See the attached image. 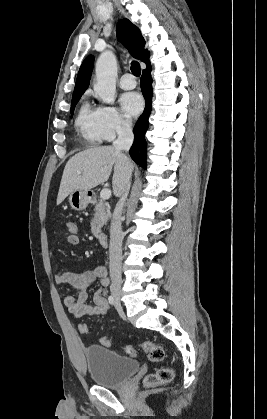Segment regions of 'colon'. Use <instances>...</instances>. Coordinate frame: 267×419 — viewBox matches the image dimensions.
<instances>
[{
    "mask_svg": "<svg viewBox=\"0 0 267 419\" xmlns=\"http://www.w3.org/2000/svg\"><path fill=\"white\" fill-rule=\"evenodd\" d=\"M65 230L68 234L67 240L69 244L76 245L79 243L80 237L78 234V226L74 221H67L65 223ZM88 326L86 324H81L79 326V331L81 334L88 333ZM100 343L103 346L109 347L110 340L108 337L104 336L100 339ZM139 347L147 354L148 359L151 362L159 363L165 359V351L163 347L157 345L150 341H145L139 345ZM125 352L130 356H135L137 353V348L132 345H127L125 347ZM174 377V370L171 367L165 366L159 368L156 372L149 374L145 378V383L149 386H156L170 382Z\"/></svg>",
    "mask_w": 267,
    "mask_h": 419,
    "instance_id": "obj_1",
    "label": "colon"
}]
</instances>
